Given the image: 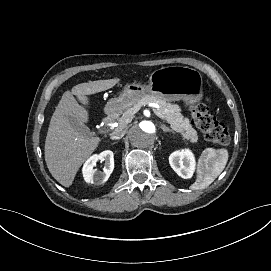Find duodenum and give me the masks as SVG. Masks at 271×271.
Wrapping results in <instances>:
<instances>
[{
  "instance_id": "duodenum-1",
  "label": "duodenum",
  "mask_w": 271,
  "mask_h": 271,
  "mask_svg": "<svg viewBox=\"0 0 271 271\" xmlns=\"http://www.w3.org/2000/svg\"><path fill=\"white\" fill-rule=\"evenodd\" d=\"M115 118V112L113 110L109 111L107 114V120L112 121Z\"/></svg>"
}]
</instances>
